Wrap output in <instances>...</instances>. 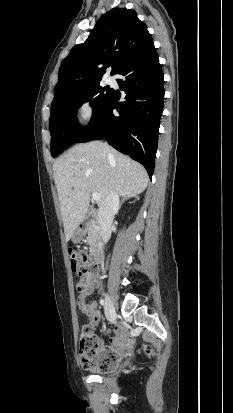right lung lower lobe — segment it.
<instances>
[{
    "instance_id": "98d812e1",
    "label": "right lung lower lobe",
    "mask_w": 233,
    "mask_h": 413,
    "mask_svg": "<svg viewBox=\"0 0 233 413\" xmlns=\"http://www.w3.org/2000/svg\"><path fill=\"white\" fill-rule=\"evenodd\" d=\"M116 74L124 76L117 82L126 92V100L118 102L112 93L78 142L105 138L115 149L140 162L152 178L164 100V74L153 42L123 63ZM113 109L119 115H114Z\"/></svg>"
}]
</instances>
